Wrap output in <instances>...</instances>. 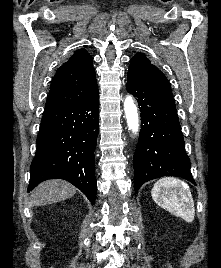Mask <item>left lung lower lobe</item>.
Listing matches in <instances>:
<instances>
[{"mask_svg": "<svg viewBox=\"0 0 221 268\" xmlns=\"http://www.w3.org/2000/svg\"><path fill=\"white\" fill-rule=\"evenodd\" d=\"M126 89L141 111V130L134 155V187L162 176H178L195 184L184 149L175 101L171 92L128 80Z\"/></svg>", "mask_w": 221, "mask_h": 268, "instance_id": "left-lung-lower-lobe-1", "label": "left lung lower lobe"}]
</instances>
